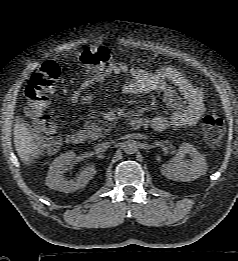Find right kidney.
<instances>
[{"label": "right kidney", "mask_w": 238, "mask_h": 261, "mask_svg": "<svg viewBox=\"0 0 238 261\" xmlns=\"http://www.w3.org/2000/svg\"><path fill=\"white\" fill-rule=\"evenodd\" d=\"M75 156L73 151H69L54 159L50 164L46 177V185L49 188L70 193L86 186L88 182L93 179L96 173L93 165L86 166L82 169L76 180L67 181L64 178L63 174L68 170V166L74 163Z\"/></svg>", "instance_id": "obj_1"}]
</instances>
